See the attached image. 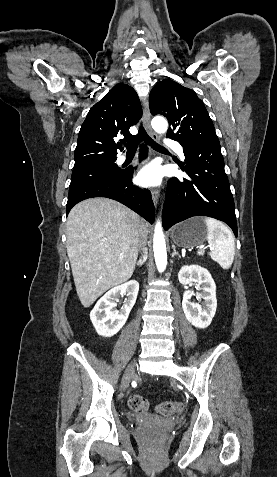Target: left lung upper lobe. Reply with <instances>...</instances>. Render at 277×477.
<instances>
[{
	"instance_id": "5c2ea615",
	"label": "left lung upper lobe",
	"mask_w": 277,
	"mask_h": 477,
	"mask_svg": "<svg viewBox=\"0 0 277 477\" xmlns=\"http://www.w3.org/2000/svg\"><path fill=\"white\" fill-rule=\"evenodd\" d=\"M149 105L152 115L161 114L168 119L167 136L182 146L220 144L203 102L191 89L163 80L152 89Z\"/></svg>"
}]
</instances>
